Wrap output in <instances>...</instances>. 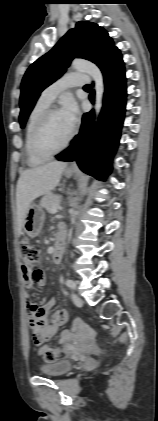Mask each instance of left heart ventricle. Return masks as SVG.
<instances>
[{
  "label": "left heart ventricle",
  "mask_w": 158,
  "mask_h": 421,
  "mask_svg": "<svg viewBox=\"0 0 158 421\" xmlns=\"http://www.w3.org/2000/svg\"><path fill=\"white\" fill-rule=\"evenodd\" d=\"M72 128L67 124L61 112L52 114L42 134V145L47 150L60 147L69 136Z\"/></svg>",
  "instance_id": "b2bd125f"
}]
</instances>
